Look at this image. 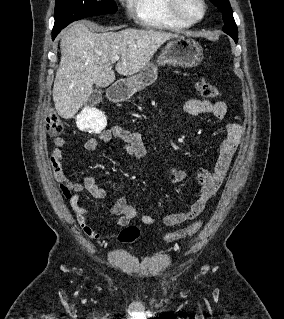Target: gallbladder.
<instances>
[{
    "label": "gallbladder",
    "instance_id": "gallbladder-1",
    "mask_svg": "<svg viewBox=\"0 0 284 319\" xmlns=\"http://www.w3.org/2000/svg\"><path fill=\"white\" fill-rule=\"evenodd\" d=\"M102 101V91L99 89H95L92 94L89 96L86 104L88 106H93Z\"/></svg>",
    "mask_w": 284,
    "mask_h": 319
}]
</instances>
